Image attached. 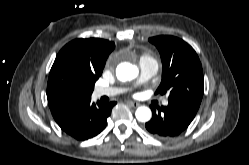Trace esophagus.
Segmentation results:
<instances>
[{
  "label": "esophagus",
  "instance_id": "esophagus-1",
  "mask_svg": "<svg viewBox=\"0 0 249 165\" xmlns=\"http://www.w3.org/2000/svg\"><path fill=\"white\" fill-rule=\"evenodd\" d=\"M127 104L134 108L140 105L138 102H134V101H127Z\"/></svg>",
  "mask_w": 249,
  "mask_h": 165
}]
</instances>
